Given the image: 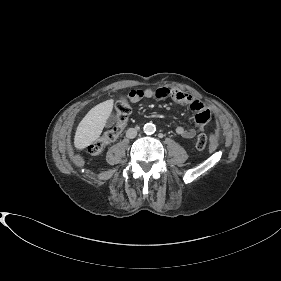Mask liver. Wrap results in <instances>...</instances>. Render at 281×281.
Segmentation results:
<instances>
[{
  "mask_svg": "<svg viewBox=\"0 0 281 281\" xmlns=\"http://www.w3.org/2000/svg\"><path fill=\"white\" fill-rule=\"evenodd\" d=\"M113 104V99L106 100L93 107L81 120L74 136L77 150L84 149L99 138L111 115Z\"/></svg>",
  "mask_w": 281,
  "mask_h": 281,
  "instance_id": "6515ba94",
  "label": "liver"
}]
</instances>
